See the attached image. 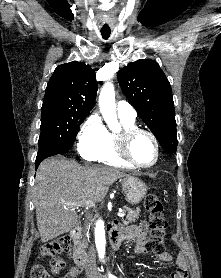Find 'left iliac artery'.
I'll return each mask as SVG.
<instances>
[{
  "label": "left iliac artery",
  "instance_id": "left-iliac-artery-1",
  "mask_svg": "<svg viewBox=\"0 0 221 278\" xmlns=\"http://www.w3.org/2000/svg\"><path fill=\"white\" fill-rule=\"evenodd\" d=\"M109 278H117V277L109 273Z\"/></svg>",
  "mask_w": 221,
  "mask_h": 278
}]
</instances>
